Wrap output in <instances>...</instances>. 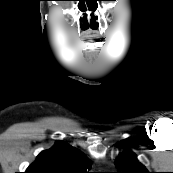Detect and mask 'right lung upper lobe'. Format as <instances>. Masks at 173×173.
<instances>
[{
  "instance_id": "1",
  "label": "right lung upper lobe",
  "mask_w": 173,
  "mask_h": 173,
  "mask_svg": "<svg viewBox=\"0 0 173 173\" xmlns=\"http://www.w3.org/2000/svg\"><path fill=\"white\" fill-rule=\"evenodd\" d=\"M91 162L82 152L62 141L42 151L25 173H89Z\"/></svg>"
}]
</instances>
